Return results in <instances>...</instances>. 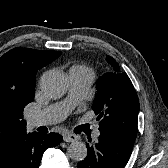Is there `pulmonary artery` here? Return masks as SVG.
Instances as JSON below:
<instances>
[{"instance_id": "1", "label": "pulmonary artery", "mask_w": 168, "mask_h": 168, "mask_svg": "<svg viewBox=\"0 0 168 168\" xmlns=\"http://www.w3.org/2000/svg\"><path fill=\"white\" fill-rule=\"evenodd\" d=\"M69 78L70 90L68 97L60 103L48 106L31 115L28 119L29 127L51 125L65 119L69 111L84 97L93 82L94 75L89 71L77 70L70 71ZM99 136L100 131L96 130L93 134L94 139H97Z\"/></svg>"}]
</instances>
